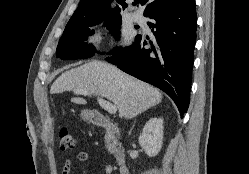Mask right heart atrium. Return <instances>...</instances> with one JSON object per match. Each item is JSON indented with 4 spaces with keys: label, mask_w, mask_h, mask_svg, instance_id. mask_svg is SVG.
<instances>
[{
    "label": "right heart atrium",
    "mask_w": 249,
    "mask_h": 174,
    "mask_svg": "<svg viewBox=\"0 0 249 174\" xmlns=\"http://www.w3.org/2000/svg\"><path fill=\"white\" fill-rule=\"evenodd\" d=\"M100 40V32H94L87 36L86 41L88 44L96 46Z\"/></svg>",
    "instance_id": "right-heart-atrium-1"
}]
</instances>
